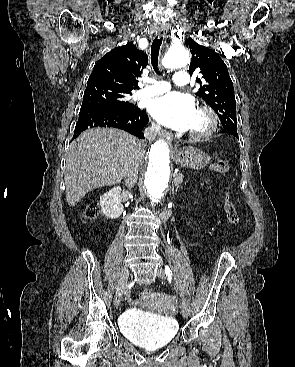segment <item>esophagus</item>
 Here are the masks:
<instances>
[{
	"instance_id": "esophagus-1",
	"label": "esophagus",
	"mask_w": 295,
	"mask_h": 367,
	"mask_svg": "<svg viewBox=\"0 0 295 367\" xmlns=\"http://www.w3.org/2000/svg\"><path fill=\"white\" fill-rule=\"evenodd\" d=\"M167 32H168V27L167 26H163V27H161L160 29H159V31H158V37L159 38H166V36H167ZM160 136L162 137V138H164V139H166V140H168L169 142H171L172 141V134L171 133H169V132H167V131H162L161 133H160Z\"/></svg>"
}]
</instances>
